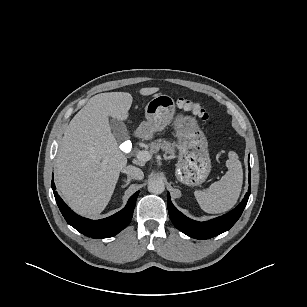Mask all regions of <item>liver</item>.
<instances>
[{"instance_id": "obj_1", "label": "liver", "mask_w": 307, "mask_h": 307, "mask_svg": "<svg viewBox=\"0 0 307 307\" xmlns=\"http://www.w3.org/2000/svg\"><path fill=\"white\" fill-rule=\"evenodd\" d=\"M159 88H142L143 96ZM133 98L127 92L93 96L73 117L56 156L55 182L68 205L84 216L99 215L109 203L127 158L111 132L109 117L128 118Z\"/></svg>"}]
</instances>
